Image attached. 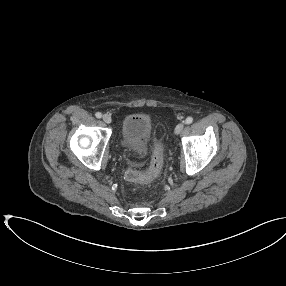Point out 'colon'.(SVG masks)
<instances>
[{
	"mask_svg": "<svg viewBox=\"0 0 286 286\" xmlns=\"http://www.w3.org/2000/svg\"><path fill=\"white\" fill-rule=\"evenodd\" d=\"M164 159V149L161 143H156L152 152L148 169L144 172L130 166L126 171V178L131 182H149L155 179L161 172Z\"/></svg>",
	"mask_w": 286,
	"mask_h": 286,
	"instance_id": "obj_1",
	"label": "colon"
}]
</instances>
